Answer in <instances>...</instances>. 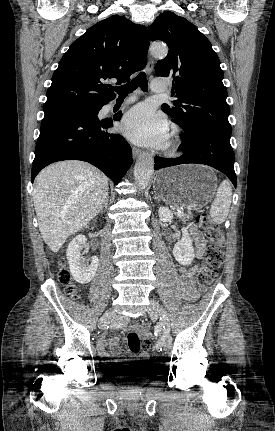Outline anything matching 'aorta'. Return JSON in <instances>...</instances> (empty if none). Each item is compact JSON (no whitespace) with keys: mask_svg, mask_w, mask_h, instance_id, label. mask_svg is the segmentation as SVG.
I'll use <instances>...</instances> for the list:
<instances>
[{"mask_svg":"<svg viewBox=\"0 0 275 431\" xmlns=\"http://www.w3.org/2000/svg\"><path fill=\"white\" fill-rule=\"evenodd\" d=\"M151 54L156 58H163L168 53L165 45L153 44L150 48ZM154 171V159L150 154H142L134 167V180L140 189L147 187Z\"/></svg>","mask_w":275,"mask_h":431,"instance_id":"1","label":"aorta"}]
</instances>
